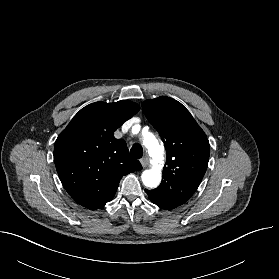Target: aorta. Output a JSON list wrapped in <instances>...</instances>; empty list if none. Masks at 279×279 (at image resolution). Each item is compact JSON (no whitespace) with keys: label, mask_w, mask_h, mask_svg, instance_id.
I'll list each match as a JSON object with an SVG mask.
<instances>
[{"label":"aorta","mask_w":279,"mask_h":279,"mask_svg":"<svg viewBox=\"0 0 279 279\" xmlns=\"http://www.w3.org/2000/svg\"><path fill=\"white\" fill-rule=\"evenodd\" d=\"M144 145L148 148L150 155L153 158V168L145 170L142 173V182L150 188L157 187L161 182L160 162L163 156V147L159 145L155 137L148 133L144 136Z\"/></svg>","instance_id":"762f6f07"}]
</instances>
